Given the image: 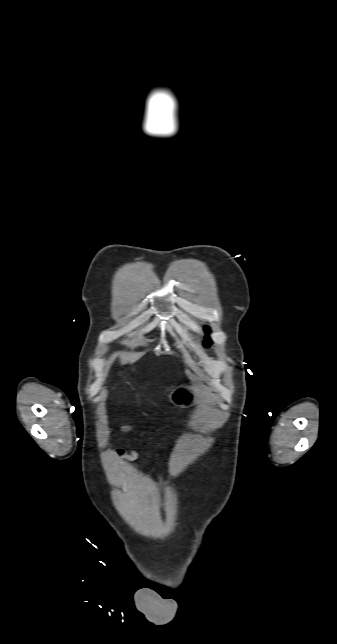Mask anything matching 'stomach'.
Masks as SVG:
<instances>
[{"label": "stomach", "mask_w": 337, "mask_h": 644, "mask_svg": "<svg viewBox=\"0 0 337 644\" xmlns=\"http://www.w3.org/2000/svg\"><path fill=\"white\" fill-rule=\"evenodd\" d=\"M204 389L205 386L202 384H182L171 392L169 400L177 407H192L197 403L199 395Z\"/></svg>", "instance_id": "obj_1"}]
</instances>
